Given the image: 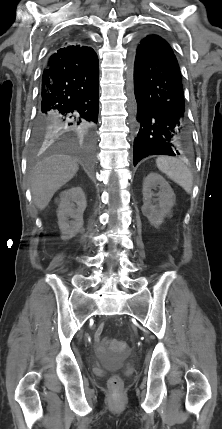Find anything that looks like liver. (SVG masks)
Listing matches in <instances>:
<instances>
[{"label":"liver","instance_id":"1","mask_svg":"<svg viewBox=\"0 0 222 429\" xmlns=\"http://www.w3.org/2000/svg\"><path fill=\"white\" fill-rule=\"evenodd\" d=\"M78 169L77 161L66 155L50 156L39 162L30 176L35 205L45 209L54 193L71 180Z\"/></svg>","mask_w":222,"mask_h":429}]
</instances>
